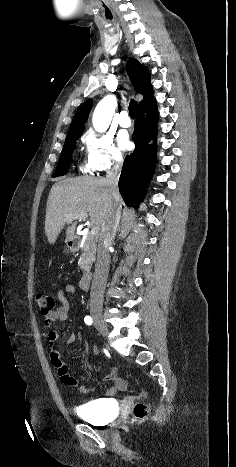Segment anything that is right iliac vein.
I'll use <instances>...</instances> for the list:
<instances>
[{"label": "right iliac vein", "mask_w": 236, "mask_h": 467, "mask_svg": "<svg viewBox=\"0 0 236 467\" xmlns=\"http://www.w3.org/2000/svg\"><path fill=\"white\" fill-rule=\"evenodd\" d=\"M92 318L97 330L103 335L106 336L108 334V328L106 323L104 322L102 315L100 312H92Z\"/></svg>", "instance_id": "63e3f726"}]
</instances>
